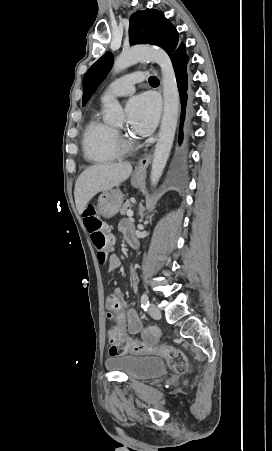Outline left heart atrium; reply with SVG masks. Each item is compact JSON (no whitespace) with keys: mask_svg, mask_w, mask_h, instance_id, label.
<instances>
[{"mask_svg":"<svg viewBox=\"0 0 272 451\" xmlns=\"http://www.w3.org/2000/svg\"><path fill=\"white\" fill-rule=\"evenodd\" d=\"M126 111L130 129L136 134L146 136L156 126L159 103L149 94L139 95L129 100Z\"/></svg>","mask_w":272,"mask_h":451,"instance_id":"obj_1","label":"left heart atrium"}]
</instances>
